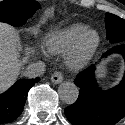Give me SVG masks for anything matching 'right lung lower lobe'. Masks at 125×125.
Masks as SVG:
<instances>
[{"label":"right lung lower lobe","instance_id":"right-lung-lower-lobe-1","mask_svg":"<svg viewBox=\"0 0 125 125\" xmlns=\"http://www.w3.org/2000/svg\"><path fill=\"white\" fill-rule=\"evenodd\" d=\"M40 79L18 80L6 92L0 94V123L14 121L23 111L28 91Z\"/></svg>","mask_w":125,"mask_h":125}]
</instances>
